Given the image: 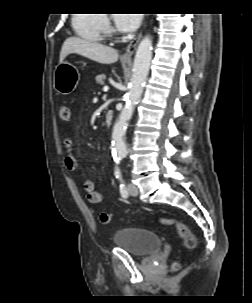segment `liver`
Segmentation results:
<instances>
[{
  "mask_svg": "<svg viewBox=\"0 0 252 303\" xmlns=\"http://www.w3.org/2000/svg\"><path fill=\"white\" fill-rule=\"evenodd\" d=\"M71 53L82 55L102 64H112L118 60L117 50L79 37H69L64 41L60 52V63Z\"/></svg>",
  "mask_w": 252,
  "mask_h": 303,
  "instance_id": "1",
  "label": "liver"
}]
</instances>
